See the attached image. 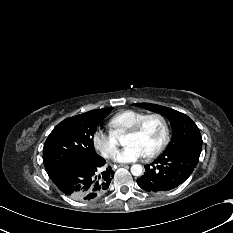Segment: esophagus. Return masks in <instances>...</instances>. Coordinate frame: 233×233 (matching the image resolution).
I'll list each match as a JSON object with an SVG mask.
<instances>
[{
  "label": "esophagus",
  "mask_w": 233,
  "mask_h": 233,
  "mask_svg": "<svg viewBox=\"0 0 233 233\" xmlns=\"http://www.w3.org/2000/svg\"><path fill=\"white\" fill-rule=\"evenodd\" d=\"M125 164H118V167H124Z\"/></svg>",
  "instance_id": "esophagus-1"
}]
</instances>
